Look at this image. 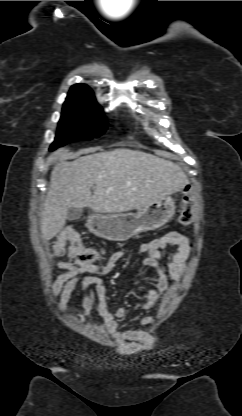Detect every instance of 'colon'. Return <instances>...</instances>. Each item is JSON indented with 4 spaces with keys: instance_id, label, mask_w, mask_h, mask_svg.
<instances>
[{
    "instance_id": "colon-1",
    "label": "colon",
    "mask_w": 242,
    "mask_h": 416,
    "mask_svg": "<svg viewBox=\"0 0 242 416\" xmlns=\"http://www.w3.org/2000/svg\"><path fill=\"white\" fill-rule=\"evenodd\" d=\"M195 208V199L190 188H187L183 197L182 209L178 216V224L182 226L190 225L194 220ZM65 254L68 255L70 262L85 265L96 261L100 257L101 252L86 246L76 232L63 230L52 245L51 255L54 258H58Z\"/></svg>"
}]
</instances>
